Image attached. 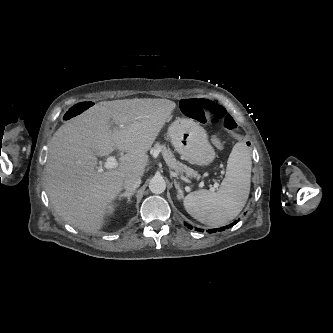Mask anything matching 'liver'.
<instances>
[{"mask_svg":"<svg viewBox=\"0 0 333 333\" xmlns=\"http://www.w3.org/2000/svg\"><path fill=\"white\" fill-rule=\"evenodd\" d=\"M176 104L167 99L99 102L66 121L53 135L45 167L46 191L62 219L88 233L99 231L126 177H142L147 151ZM110 119L119 128L110 129ZM115 149L119 166L96 170L97 157Z\"/></svg>","mask_w":333,"mask_h":333,"instance_id":"obj_1","label":"liver"}]
</instances>
